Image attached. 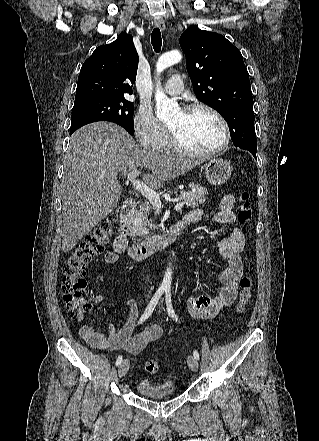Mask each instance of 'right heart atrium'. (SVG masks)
<instances>
[{
	"label": "right heart atrium",
	"instance_id": "1",
	"mask_svg": "<svg viewBox=\"0 0 319 441\" xmlns=\"http://www.w3.org/2000/svg\"><path fill=\"white\" fill-rule=\"evenodd\" d=\"M134 131L139 144L147 150H163L169 140L166 127L146 106L139 108L134 118Z\"/></svg>",
	"mask_w": 319,
	"mask_h": 441
}]
</instances>
